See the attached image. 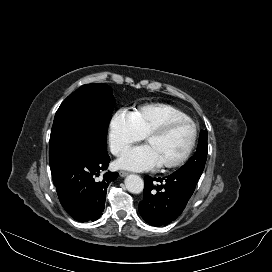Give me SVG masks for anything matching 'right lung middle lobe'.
<instances>
[{
  "mask_svg": "<svg viewBox=\"0 0 272 272\" xmlns=\"http://www.w3.org/2000/svg\"><path fill=\"white\" fill-rule=\"evenodd\" d=\"M115 106L110 86L86 84L58 108L49 141V163L54 168L80 150H107V129Z\"/></svg>",
  "mask_w": 272,
  "mask_h": 272,
  "instance_id": "right-lung-middle-lobe-1",
  "label": "right lung middle lobe"
}]
</instances>
